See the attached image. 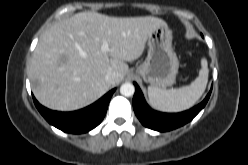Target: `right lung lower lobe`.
Masks as SVG:
<instances>
[{"mask_svg":"<svg viewBox=\"0 0 248 165\" xmlns=\"http://www.w3.org/2000/svg\"><path fill=\"white\" fill-rule=\"evenodd\" d=\"M114 91L115 89L109 91L94 104L74 112L52 111L40 105L34 96L33 100L39 112L51 125L67 133L79 134L88 132L101 123Z\"/></svg>","mask_w":248,"mask_h":165,"instance_id":"1","label":"right lung lower lobe"}]
</instances>
